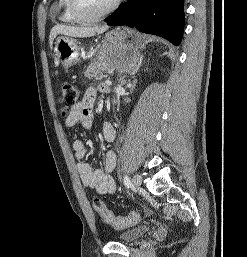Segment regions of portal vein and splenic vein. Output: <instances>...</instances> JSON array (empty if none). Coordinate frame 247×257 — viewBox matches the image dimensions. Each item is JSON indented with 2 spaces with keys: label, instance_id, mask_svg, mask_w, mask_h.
Returning a JSON list of instances; mask_svg holds the SVG:
<instances>
[{
  "label": "portal vein and splenic vein",
  "instance_id": "obj_1",
  "mask_svg": "<svg viewBox=\"0 0 247 257\" xmlns=\"http://www.w3.org/2000/svg\"><path fill=\"white\" fill-rule=\"evenodd\" d=\"M108 73L111 74V73H112V70H109Z\"/></svg>",
  "mask_w": 247,
  "mask_h": 257
}]
</instances>
